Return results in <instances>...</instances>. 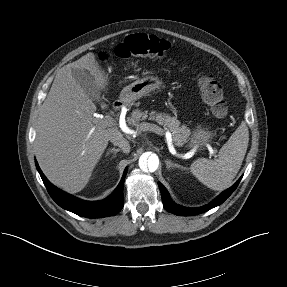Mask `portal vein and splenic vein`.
<instances>
[{"instance_id": "portal-vein-and-splenic-vein-1", "label": "portal vein and splenic vein", "mask_w": 287, "mask_h": 287, "mask_svg": "<svg viewBox=\"0 0 287 287\" xmlns=\"http://www.w3.org/2000/svg\"><path fill=\"white\" fill-rule=\"evenodd\" d=\"M96 123L102 128L112 127V126H115L117 124L116 120L109 115L105 116L104 118L97 117ZM119 125H120V128L123 132H125L126 134H132V130H130L124 122H119ZM141 129L154 132L160 136L164 135L169 143L172 142L171 133L163 130L161 127H159L155 124L143 123L141 126ZM210 152L212 154L214 153L212 149H210Z\"/></svg>"}]
</instances>
